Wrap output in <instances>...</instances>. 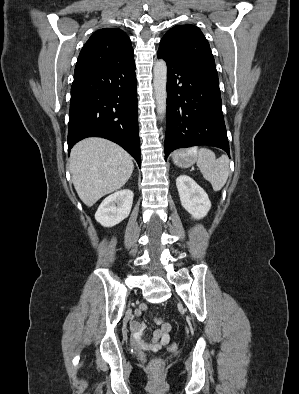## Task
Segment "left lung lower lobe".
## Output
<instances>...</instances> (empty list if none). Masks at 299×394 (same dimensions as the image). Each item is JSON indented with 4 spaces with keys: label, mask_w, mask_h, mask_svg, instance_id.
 <instances>
[{
    "label": "left lung lower lobe",
    "mask_w": 299,
    "mask_h": 394,
    "mask_svg": "<svg viewBox=\"0 0 299 394\" xmlns=\"http://www.w3.org/2000/svg\"><path fill=\"white\" fill-rule=\"evenodd\" d=\"M167 64L165 160L177 148L216 146L229 155L218 74L215 64Z\"/></svg>",
    "instance_id": "1"
}]
</instances>
